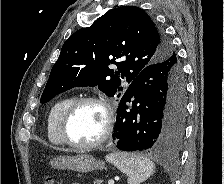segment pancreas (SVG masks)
I'll list each match as a JSON object with an SVG mask.
<instances>
[{
    "instance_id": "1",
    "label": "pancreas",
    "mask_w": 224,
    "mask_h": 184,
    "mask_svg": "<svg viewBox=\"0 0 224 184\" xmlns=\"http://www.w3.org/2000/svg\"><path fill=\"white\" fill-rule=\"evenodd\" d=\"M94 184H101L99 181H95Z\"/></svg>"
}]
</instances>
